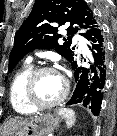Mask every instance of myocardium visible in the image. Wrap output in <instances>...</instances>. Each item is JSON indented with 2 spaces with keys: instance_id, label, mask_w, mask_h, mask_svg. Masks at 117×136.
<instances>
[{
  "instance_id": "f54148a6",
  "label": "myocardium",
  "mask_w": 117,
  "mask_h": 136,
  "mask_svg": "<svg viewBox=\"0 0 117 136\" xmlns=\"http://www.w3.org/2000/svg\"><path fill=\"white\" fill-rule=\"evenodd\" d=\"M45 72H56L58 73L64 82V89L61 95L54 101L49 103H40L37 101L35 97V85L38 77ZM70 90L69 81L68 79L56 68L51 66H41L33 69L31 74L29 75L26 85H25V99L27 103L34 109V110H46L53 108L59 104H61L67 97Z\"/></svg>"
}]
</instances>
